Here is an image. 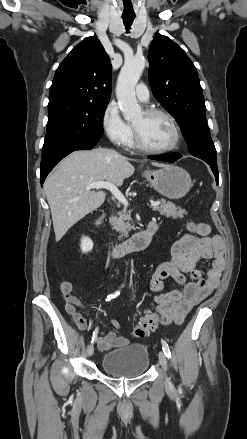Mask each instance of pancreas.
<instances>
[{"instance_id": "obj_1", "label": "pancreas", "mask_w": 247, "mask_h": 439, "mask_svg": "<svg viewBox=\"0 0 247 439\" xmlns=\"http://www.w3.org/2000/svg\"><path fill=\"white\" fill-rule=\"evenodd\" d=\"M161 202L160 207L155 208V211L160 212L161 215L171 217L172 219H182L184 214H187L186 210L175 206L172 202H166L164 199L159 200ZM131 220L130 215L125 210L120 212L119 218L115 222L116 229L122 234L127 236L128 232L133 229V226L129 224Z\"/></svg>"}]
</instances>
